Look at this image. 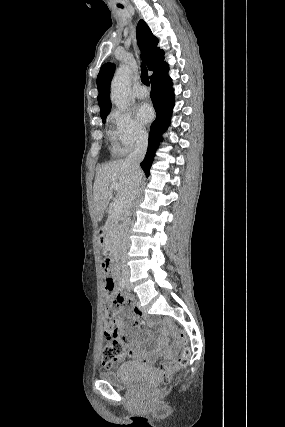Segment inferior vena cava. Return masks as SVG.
I'll list each match as a JSON object with an SVG mask.
<instances>
[{
    "instance_id": "inferior-vena-cava-1",
    "label": "inferior vena cava",
    "mask_w": 285,
    "mask_h": 427,
    "mask_svg": "<svg viewBox=\"0 0 285 427\" xmlns=\"http://www.w3.org/2000/svg\"><path fill=\"white\" fill-rule=\"evenodd\" d=\"M147 147H148V136L146 134L139 135L138 139L136 141V144H135L134 151L131 154H129V156L125 160L130 165V168L135 175L134 187L132 190V196H131V200L129 202L128 208H130L132 206L133 200L137 197V195L139 193V188H140L141 180H142V171L140 168V163L145 157ZM129 224H130V218L126 217L125 218V232L123 234V240H122L123 256H125L127 248H128V234H127V232H128ZM122 270L126 274L129 273L128 266H127L124 259L122 262Z\"/></svg>"
}]
</instances>
